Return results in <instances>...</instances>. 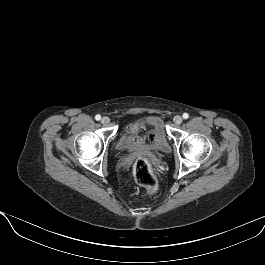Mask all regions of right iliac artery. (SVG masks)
<instances>
[{"label":"right iliac artery","instance_id":"obj_1","mask_svg":"<svg viewBox=\"0 0 265 265\" xmlns=\"http://www.w3.org/2000/svg\"><path fill=\"white\" fill-rule=\"evenodd\" d=\"M95 119H96L97 121H99V120L101 119V116H100V115H96V116H95Z\"/></svg>","mask_w":265,"mask_h":265}]
</instances>
